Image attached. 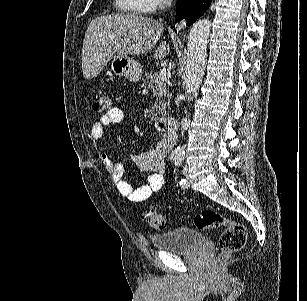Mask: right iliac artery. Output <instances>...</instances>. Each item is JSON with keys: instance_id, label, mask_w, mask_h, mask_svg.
Here are the masks:
<instances>
[{"instance_id": "1", "label": "right iliac artery", "mask_w": 307, "mask_h": 301, "mask_svg": "<svg viewBox=\"0 0 307 301\" xmlns=\"http://www.w3.org/2000/svg\"><path fill=\"white\" fill-rule=\"evenodd\" d=\"M171 159L176 160V157L172 154V155H171Z\"/></svg>"}]
</instances>
